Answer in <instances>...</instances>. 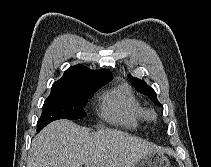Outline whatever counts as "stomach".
<instances>
[{"label": "stomach", "mask_w": 211, "mask_h": 167, "mask_svg": "<svg viewBox=\"0 0 211 167\" xmlns=\"http://www.w3.org/2000/svg\"><path fill=\"white\" fill-rule=\"evenodd\" d=\"M132 167H170V162L162 152L156 150L142 157Z\"/></svg>", "instance_id": "obj_1"}]
</instances>
